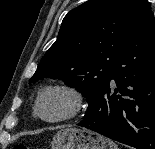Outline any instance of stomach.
Returning <instances> with one entry per match:
<instances>
[{"label":"stomach","mask_w":155,"mask_h":149,"mask_svg":"<svg viewBox=\"0 0 155 149\" xmlns=\"http://www.w3.org/2000/svg\"><path fill=\"white\" fill-rule=\"evenodd\" d=\"M52 149H118L110 139L88 129L63 127L53 137Z\"/></svg>","instance_id":"0dacf381"}]
</instances>
